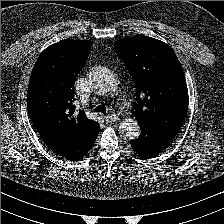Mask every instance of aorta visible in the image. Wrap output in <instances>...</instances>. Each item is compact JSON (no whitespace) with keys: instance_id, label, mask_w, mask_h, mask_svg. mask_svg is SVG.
Returning <instances> with one entry per match:
<instances>
[{"instance_id":"1","label":"aorta","mask_w":224,"mask_h":224,"mask_svg":"<svg viewBox=\"0 0 224 224\" xmlns=\"http://www.w3.org/2000/svg\"><path fill=\"white\" fill-rule=\"evenodd\" d=\"M97 85L103 93H112L117 90V81L110 73H104L97 78ZM119 132L121 136L127 138H134L139 135V126L134 119H126L120 123Z\"/></svg>"}]
</instances>
